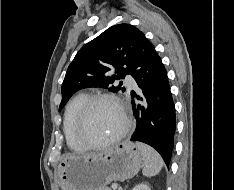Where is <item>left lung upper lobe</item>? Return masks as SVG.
Listing matches in <instances>:
<instances>
[{"instance_id":"5c2ea615","label":"left lung upper lobe","mask_w":234,"mask_h":190,"mask_svg":"<svg viewBox=\"0 0 234 190\" xmlns=\"http://www.w3.org/2000/svg\"><path fill=\"white\" fill-rule=\"evenodd\" d=\"M145 38L143 32L130 24L114 25L98 37L87 43L76 54L68 67L62 84L61 110L69 98L78 90L87 87L109 88L115 79L124 78L126 74L133 76L141 41ZM115 68L117 75H111ZM110 87V91H119Z\"/></svg>"}]
</instances>
